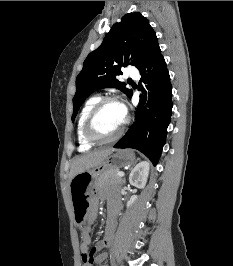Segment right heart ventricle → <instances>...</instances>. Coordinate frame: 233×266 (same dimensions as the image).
<instances>
[{"mask_svg": "<svg viewBox=\"0 0 233 266\" xmlns=\"http://www.w3.org/2000/svg\"><path fill=\"white\" fill-rule=\"evenodd\" d=\"M101 97L98 95L90 97L84 104V106L81 109V112L79 114V118L77 121V140L79 144V149L81 151L89 150L93 147L94 144L87 141L83 134V127L86 120V117L91 110V108L95 105V103L100 99Z\"/></svg>", "mask_w": 233, "mask_h": 266, "instance_id": "obj_1", "label": "right heart ventricle"}]
</instances>
